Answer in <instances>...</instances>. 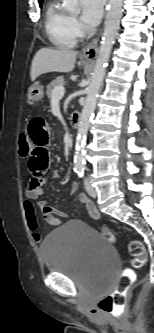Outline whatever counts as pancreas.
I'll return each mask as SVG.
<instances>
[{
	"mask_svg": "<svg viewBox=\"0 0 154 333\" xmlns=\"http://www.w3.org/2000/svg\"><path fill=\"white\" fill-rule=\"evenodd\" d=\"M64 84L65 81L63 76H59L55 80L51 81V83L47 86L46 90L47 96L51 98L53 89L57 86H63Z\"/></svg>",
	"mask_w": 154,
	"mask_h": 333,
	"instance_id": "obj_1",
	"label": "pancreas"
}]
</instances>
